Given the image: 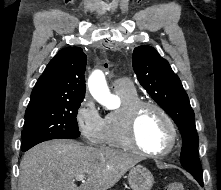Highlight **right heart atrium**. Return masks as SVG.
<instances>
[{"mask_svg": "<svg viewBox=\"0 0 221 190\" xmlns=\"http://www.w3.org/2000/svg\"><path fill=\"white\" fill-rule=\"evenodd\" d=\"M75 122L87 144L99 146L104 143V118L90 97L85 96L80 102Z\"/></svg>", "mask_w": 221, "mask_h": 190, "instance_id": "right-heart-atrium-1", "label": "right heart atrium"}]
</instances>
